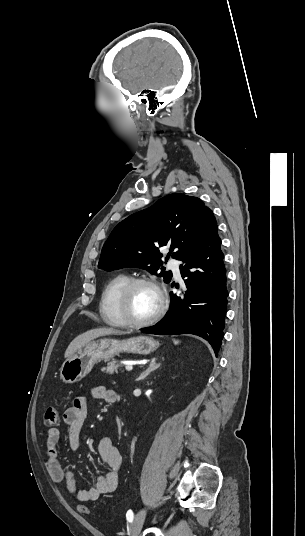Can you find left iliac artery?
Segmentation results:
<instances>
[{
  "instance_id": "44dca946",
  "label": "left iliac artery",
  "mask_w": 305,
  "mask_h": 536,
  "mask_svg": "<svg viewBox=\"0 0 305 536\" xmlns=\"http://www.w3.org/2000/svg\"><path fill=\"white\" fill-rule=\"evenodd\" d=\"M126 517H127V520L129 522H132L133 521V512L131 510H129L126 514Z\"/></svg>"
}]
</instances>
